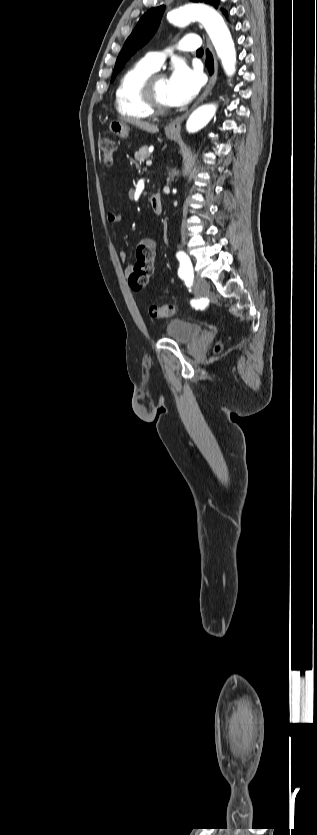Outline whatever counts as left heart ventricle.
Instances as JSON below:
<instances>
[{"label":"left heart ventricle","instance_id":"b2bd125f","mask_svg":"<svg viewBox=\"0 0 317 835\" xmlns=\"http://www.w3.org/2000/svg\"><path fill=\"white\" fill-rule=\"evenodd\" d=\"M168 79L165 77H161L156 82V94L158 99L161 103L171 106L169 99H168Z\"/></svg>","mask_w":317,"mask_h":835}]
</instances>
